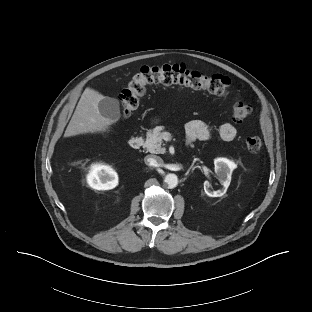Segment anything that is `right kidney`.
<instances>
[{
	"instance_id": "right-kidney-1",
	"label": "right kidney",
	"mask_w": 312,
	"mask_h": 312,
	"mask_svg": "<svg viewBox=\"0 0 312 312\" xmlns=\"http://www.w3.org/2000/svg\"><path fill=\"white\" fill-rule=\"evenodd\" d=\"M87 182L94 189L109 190L118 185V175L110 166L95 164L91 167Z\"/></svg>"
}]
</instances>
